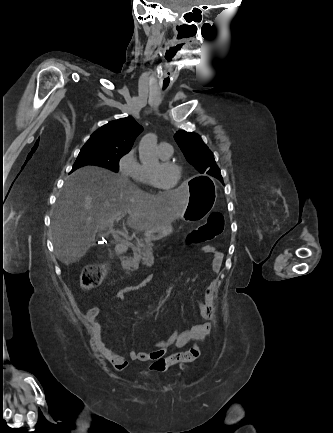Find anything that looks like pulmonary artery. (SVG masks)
I'll return each mask as SVG.
<instances>
[{
  "label": "pulmonary artery",
  "mask_w": 333,
  "mask_h": 433,
  "mask_svg": "<svg viewBox=\"0 0 333 433\" xmlns=\"http://www.w3.org/2000/svg\"><path fill=\"white\" fill-rule=\"evenodd\" d=\"M159 155L169 158L173 153V148L169 143L162 142L158 145Z\"/></svg>",
  "instance_id": "e3ab8cb5"
}]
</instances>
